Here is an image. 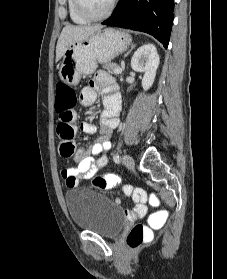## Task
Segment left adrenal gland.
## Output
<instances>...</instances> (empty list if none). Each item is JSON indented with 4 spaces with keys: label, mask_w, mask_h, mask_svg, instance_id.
I'll use <instances>...</instances> for the list:
<instances>
[{
    "label": "left adrenal gland",
    "mask_w": 227,
    "mask_h": 279,
    "mask_svg": "<svg viewBox=\"0 0 227 279\" xmlns=\"http://www.w3.org/2000/svg\"><path fill=\"white\" fill-rule=\"evenodd\" d=\"M134 47H135V45L132 44V45H131V49L125 54V56L128 55V54L134 49Z\"/></svg>",
    "instance_id": "a2214340"
}]
</instances>
